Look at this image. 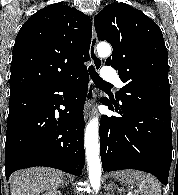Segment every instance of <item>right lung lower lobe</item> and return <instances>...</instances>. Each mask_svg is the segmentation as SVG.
Listing matches in <instances>:
<instances>
[{"instance_id":"1","label":"right lung lower lobe","mask_w":178,"mask_h":195,"mask_svg":"<svg viewBox=\"0 0 178 195\" xmlns=\"http://www.w3.org/2000/svg\"><path fill=\"white\" fill-rule=\"evenodd\" d=\"M88 81L85 69L58 84L10 93L5 144L7 179L18 169L34 166L81 174L85 164L83 108Z\"/></svg>"}]
</instances>
